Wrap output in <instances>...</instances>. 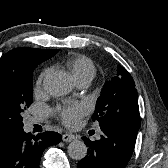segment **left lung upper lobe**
Listing matches in <instances>:
<instances>
[{
    "label": "left lung upper lobe",
    "instance_id": "1",
    "mask_svg": "<svg viewBox=\"0 0 168 168\" xmlns=\"http://www.w3.org/2000/svg\"><path fill=\"white\" fill-rule=\"evenodd\" d=\"M92 120L98 121L100 127L121 124L133 131L139 130L137 90L131 75L124 67L118 65L117 75L105 83Z\"/></svg>",
    "mask_w": 168,
    "mask_h": 168
}]
</instances>
